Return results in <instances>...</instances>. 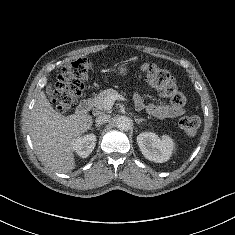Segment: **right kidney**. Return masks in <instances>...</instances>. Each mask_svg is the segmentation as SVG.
<instances>
[{
    "mask_svg": "<svg viewBox=\"0 0 235 235\" xmlns=\"http://www.w3.org/2000/svg\"><path fill=\"white\" fill-rule=\"evenodd\" d=\"M95 144L96 136L94 134H87L76 139L72 148L81 158H86L94 150Z\"/></svg>",
    "mask_w": 235,
    "mask_h": 235,
    "instance_id": "ca27d5eb",
    "label": "right kidney"
}]
</instances>
